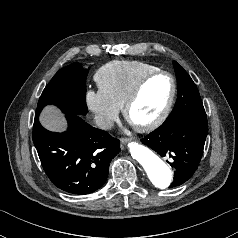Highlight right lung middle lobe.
I'll return each mask as SVG.
<instances>
[{"instance_id": "1", "label": "right lung middle lobe", "mask_w": 238, "mask_h": 238, "mask_svg": "<svg viewBox=\"0 0 238 238\" xmlns=\"http://www.w3.org/2000/svg\"><path fill=\"white\" fill-rule=\"evenodd\" d=\"M89 69L73 63L60 69L43 90L36 109L35 118L44 106L54 104L65 114H86V77Z\"/></svg>"}]
</instances>
